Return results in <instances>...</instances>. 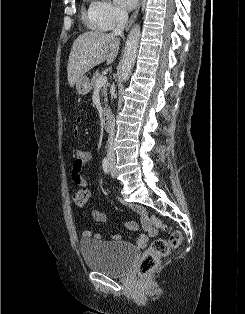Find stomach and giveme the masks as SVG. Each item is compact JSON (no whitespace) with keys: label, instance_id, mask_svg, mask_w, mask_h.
Segmentation results:
<instances>
[{"label":"stomach","instance_id":"0dacf381","mask_svg":"<svg viewBox=\"0 0 245 314\" xmlns=\"http://www.w3.org/2000/svg\"><path fill=\"white\" fill-rule=\"evenodd\" d=\"M90 89L91 86L88 77L82 76L76 82V90L79 95H86L87 93H89Z\"/></svg>","mask_w":245,"mask_h":314}]
</instances>
